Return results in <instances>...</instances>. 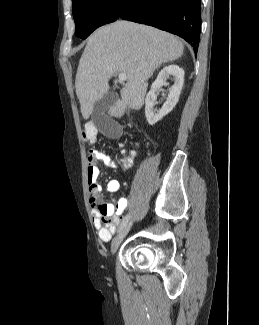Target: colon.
<instances>
[{"mask_svg":"<svg viewBox=\"0 0 259 325\" xmlns=\"http://www.w3.org/2000/svg\"><path fill=\"white\" fill-rule=\"evenodd\" d=\"M97 133L96 126L94 124H87L85 125L83 131H82V137L84 141L92 142L95 139Z\"/></svg>","mask_w":259,"mask_h":325,"instance_id":"colon-1","label":"colon"}]
</instances>
